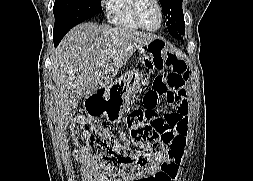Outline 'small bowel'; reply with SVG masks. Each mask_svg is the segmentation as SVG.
<instances>
[{
    "label": "small bowel",
    "mask_w": 253,
    "mask_h": 181,
    "mask_svg": "<svg viewBox=\"0 0 253 181\" xmlns=\"http://www.w3.org/2000/svg\"><path fill=\"white\" fill-rule=\"evenodd\" d=\"M150 67H157L156 60L152 58L148 60ZM187 110V104L185 111ZM181 120L176 126V140L174 143V149L176 156L171 158L164 166L152 167L144 176H115L107 173L99 168L96 162L86 153L81 151H74L73 156L79 163V171L81 174L82 181H170L172 175L176 173L179 168L182 153L186 147L187 139L186 135L189 129L187 117L185 114L180 115Z\"/></svg>",
    "instance_id": "small-bowel-1"
}]
</instances>
